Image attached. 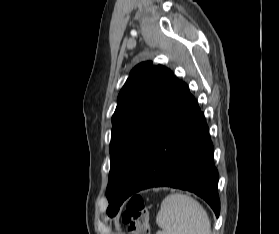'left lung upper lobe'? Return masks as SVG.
Masks as SVG:
<instances>
[{"mask_svg":"<svg viewBox=\"0 0 279 234\" xmlns=\"http://www.w3.org/2000/svg\"><path fill=\"white\" fill-rule=\"evenodd\" d=\"M173 78L168 68L143 62L133 68L118 95L112 117L111 166L106 191L110 217L118 213L123 203L121 191L137 150Z\"/></svg>","mask_w":279,"mask_h":234,"instance_id":"left-lung-upper-lobe-1","label":"left lung upper lobe"}]
</instances>
